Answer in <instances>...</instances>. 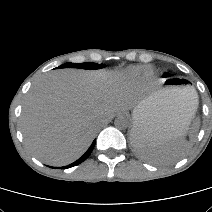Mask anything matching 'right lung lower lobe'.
I'll return each mask as SVG.
<instances>
[{
	"label": "right lung lower lobe",
	"instance_id": "1",
	"mask_svg": "<svg viewBox=\"0 0 212 212\" xmlns=\"http://www.w3.org/2000/svg\"><path fill=\"white\" fill-rule=\"evenodd\" d=\"M95 142H96V140L93 141V143L91 144L89 149L86 151V153L82 157H80L77 161H75L74 163H72L68 166L62 167V168L63 169L70 168V167L76 166V165L82 163L84 160H86L89 157V155L91 154V152L94 148Z\"/></svg>",
	"mask_w": 212,
	"mask_h": 212
}]
</instances>
